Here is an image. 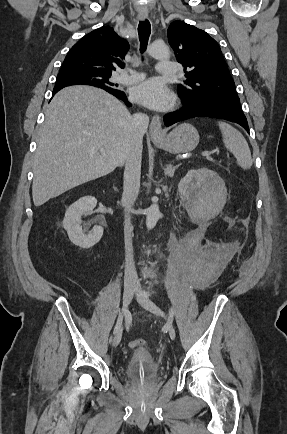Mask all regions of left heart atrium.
<instances>
[{"mask_svg": "<svg viewBox=\"0 0 287 434\" xmlns=\"http://www.w3.org/2000/svg\"><path fill=\"white\" fill-rule=\"evenodd\" d=\"M133 99L155 110L168 109L173 103V95L159 79H149L137 85L132 92Z\"/></svg>", "mask_w": 287, "mask_h": 434, "instance_id": "left-heart-atrium-1", "label": "left heart atrium"}]
</instances>
